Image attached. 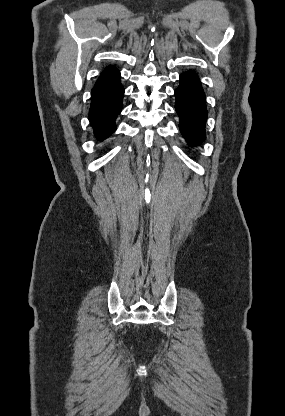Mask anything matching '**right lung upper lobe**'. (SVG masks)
<instances>
[{
    "mask_svg": "<svg viewBox=\"0 0 285 416\" xmlns=\"http://www.w3.org/2000/svg\"><path fill=\"white\" fill-rule=\"evenodd\" d=\"M117 74H119V71L115 67L110 65V66H108L104 69V71L100 75L99 79L97 80L96 84L104 82V81L116 76Z\"/></svg>",
    "mask_w": 285,
    "mask_h": 416,
    "instance_id": "cb5924a9",
    "label": "right lung upper lobe"
}]
</instances>
